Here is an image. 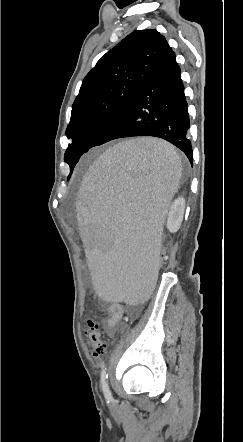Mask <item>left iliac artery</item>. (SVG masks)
Instances as JSON below:
<instances>
[{"instance_id": "1", "label": "left iliac artery", "mask_w": 243, "mask_h": 442, "mask_svg": "<svg viewBox=\"0 0 243 442\" xmlns=\"http://www.w3.org/2000/svg\"><path fill=\"white\" fill-rule=\"evenodd\" d=\"M107 378H108V368L103 367V369L101 371L100 383H101L102 390H103V393H104L106 399L110 400L112 398V396H111V392L109 390V386L107 383Z\"/></svg>"}]
</instances>
